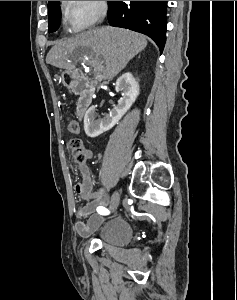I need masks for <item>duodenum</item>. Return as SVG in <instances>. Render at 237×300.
<instances>
[{"mask_svg":"<svg viewBox=\"0 0 237 300\" xmlns=\"http://www.w3.org/2000/svg\"><path fill=\"white\" fill-rule=\"evenodd\" d=\"M66 85L79 95L76 114L79 120L83 119L88 112L95 93V88L87 77L79 70H70L65 76Z\"/></svg>","mask_w":237,"mask_h":300,"instance_id":"410a0bca","label":"duodenum"}]
</instances>
